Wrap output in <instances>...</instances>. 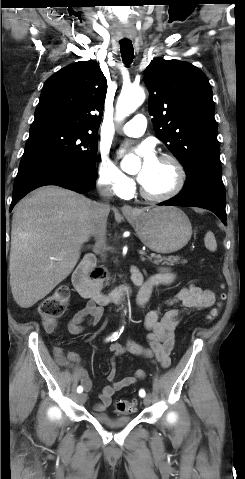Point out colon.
Segmentation results:
<instances>
[{"mask_svg":"<svg viewBox=\"0 0 245 479\" xmlns=\"http://www.w3.org/2000/svg\"><path fill=\"white\" fill-rule=\"evenodd\" d=\"M224 299V295L222 296ZM70 301V290L66 285L58 287L53 293L48 295L40 304L39 313L43 321V326L47 332L56 329L58 320L66 311ZM221 304H217L207 314L208 322L215 320L220 313ZM118 413H132L136 409V402L132 400L120 399L115 403Z\"/></svg>","mask_w":245,"mask_h":479,"instance_id":"1","label":"colon"}]
</instances>
